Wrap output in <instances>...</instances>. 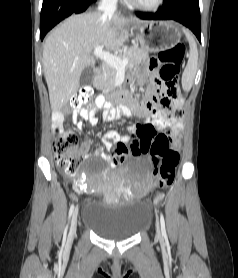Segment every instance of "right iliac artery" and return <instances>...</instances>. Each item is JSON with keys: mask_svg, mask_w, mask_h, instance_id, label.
<instances>
[{"mask_svg": "<svg viewBox=\"0 0 238 278\" xmlns=\"http://www.w3.org/2000/svg\"><path fill=\"white\" fill-rule=\"evenodd\" d=\"M73 210H74V205L72 204L70 206V209H69V215H68V219L70 220L71 216H72V213H73Z\"/></svg>", "mask_w": 238, "mask_h": 278, "instance_id": "82829eb1", "label": "right iliac artery"}]
</instances>
